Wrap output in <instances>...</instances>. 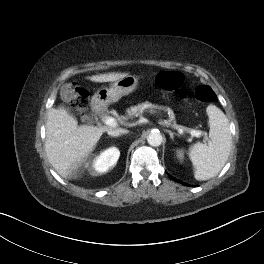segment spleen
<instances>
[{"mask_svg": "<svg viewBox=\"0 0 264 264\" xmlns=\"http://www.w3.org/2000/svg\"><path fill=\"white\" fill-rule=\"evenodd\" d=\"M209 117L208 144L196 143L189 149V157L195 168L196 180L204 181L216 176L224 167L232 147L229 120L215 105L206 109Z\"/></svg>", "mask_w": 264, "mask_h": 264, "instance_id": "spleen-1", "label": "spleen"}]
</instances>
